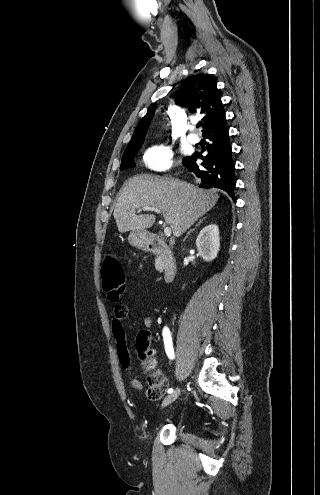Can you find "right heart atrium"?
Listing matches in <instances>:
<instances>
[{"label": "right heart atrium", "mask_w": 320, "mask_h": 495, "mask_svg": "<svg viewBox=\"0 0 320 495\" xmlns=\"http://www.w3.org/2000/svg\"><path fill=\"white\" fill-rule=\"evenodd\" d=\"M174 161V152L168 144H155L145 150L143 163L149 169L156 172L168 170Z\"/></svg>", "instance_id": "d8ad5b80"}]
</instances>
